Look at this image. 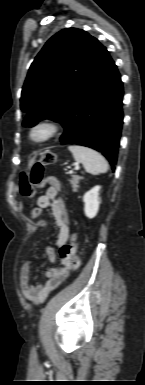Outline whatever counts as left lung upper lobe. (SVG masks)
<instances>
[{
    "instance_id": "obj_1",
    "label": "left lung upper lobe",
    "mask_w": 145,
    "mask_h": 385,
    "mask_svg": "<svg viewBox=\"0 0 145 385\" xmlns=\"http://www.w3.org/2000/svg\"><path fill=\"white\" fill-rule=\"evenodd\" d=\"M86 31L66 28L51 37L30 66L21 94L23 126L42 119L62 125L79 94L98 49Z\"/></svg>"
}]
</instances>
